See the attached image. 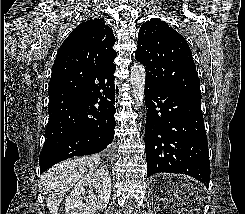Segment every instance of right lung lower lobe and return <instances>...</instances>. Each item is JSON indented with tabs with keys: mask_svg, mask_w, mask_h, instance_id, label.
<instances>
[{
	"mask_svg": "<svg viewBox=\"0 0 245 214\" xmlns=\"http://www.w3.org/2000/svg\"><path fill=\"white\" fill-rule=\"evenodd\" d=\"M113 71L98 70L79 96L49 95V121L39 157L40 173L74 156L101 152L114 138L117 102Z\"/></svg>",
	"mask_w": 245,
	"mask_h": 214,
	"instance_id": "1",
	"label": "right lung lower lobe"
}]
</instances>
